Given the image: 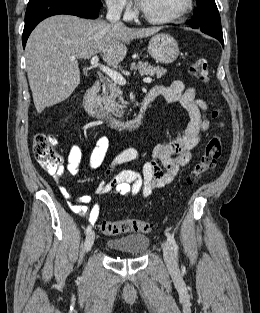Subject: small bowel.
I'll list each match as a JSON object with an SVG mask.
<instances>
[{"instance_id": "small-bowel-1", "label": "small bowel", "mask_w": 260, "mask_h": 313, "mask_svg": "<svg viewBox=\"0 0 260 313\" xmlns=\"http://www.w3.org/2000/svg\"><path fill=\"white\" fill-rule=\"evenodd\" d=\"M147 96L153 101L162 99L167 103H180L189 115V122L184 133L167 143L157 145L153 149L152 159L145 162L141 173L124 170L115 173L107 181H100L95 188L96 195L112 193L123 197L134 195L148 197L156 188L171 184L180 170L192 161L193 151L209 127L206 102L196 97L193 87L185 88L180 80H174L168 87L156 86L149 91ZM108 146L106 136H100L97 139L89 159L91 169H96L102 164ZM82 154L83 147L80 144L74 145L69 151L65 168L71 175H77L80 172ZM141 159L142 154L138 149L121 150L110 160L105 176H110L118 165ZM61 174L62 171L55 181L59 185L68 208L75 214L86 216L92 224H95L99 217V204L95 203L89 209L87 204L92 199L89 195L73 199L64 186Z\"/></svg>"}]
</instances>
